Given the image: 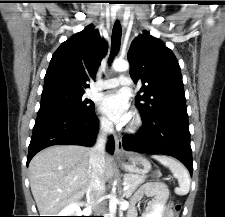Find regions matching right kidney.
Wrapping results in <instances>:
<instances>
[{"label": "right kidney", "instance_id": "right-kidney-1", "mask_svg": "<svg viewBox=\"0 0 225 217\" xmlns=\"http://www.w3.org/2000/svg\"><path fill=\"white\" fill-rule=\"evenodd\" d=\"M82 205L83 203L71 204L63 209L58 216H81L82 212L80 206Z\"/></svg>", "mask_w": 225, "mask_h": 217}]
</instances>
